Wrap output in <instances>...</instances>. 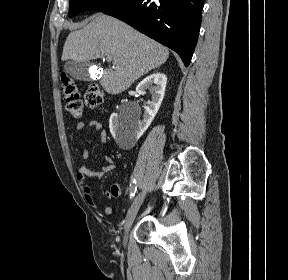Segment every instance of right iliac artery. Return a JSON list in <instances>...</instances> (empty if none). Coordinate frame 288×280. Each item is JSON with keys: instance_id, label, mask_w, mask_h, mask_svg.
I'll return each instance as SVG.
<instances>
[{"instance_id": "right-iliac-artery-1", "label": "right iliac artery", "mask_w": 288, "mask_h": 280, "mask_svg": "<svg viewBox=\"0 0 288 280\" xmlns=\"http://www.w3.org/2000/svg\"><path fill=\"white\" fill-rule=\"evenodd\" d=\"M136 191H137L136 181H135V180H132V181L130 182V199H131V200H132L133 197L135 196Z\"/></svg>"}]
</instances>
